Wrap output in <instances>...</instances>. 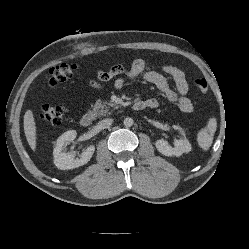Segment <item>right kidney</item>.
Instances as JSON below:
<instances>
[{"label": "right kidney", "instance_id": "ca27d5eb", "mask_svg": "<svg viewBox=\"0 0 249 249\" xmlns=\"http://www.w3.org/2000/svg\"><path fill=\"white\" fill-rule=\"evenodd\" d=\"M76 134V131L69 130L63 133L56 141V145L53 151L54 164L60 170L73 169L87 164L95 151V147L91 145L81 153L80 158L76 159L74 158V153L63 152L64 145L68 142L73 141L76 138Z\"/></svg>", "mask_w": 249, "mask_h": 249}]
</instances>
